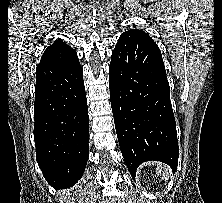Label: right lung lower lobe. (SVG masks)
Here are the masks:
<instances>
[{"instance_id":"right-lung-lower-lobe-1","label":"right lung lower lobe","mask_w":222,"mask_h":203,"mask_svg":"<svg viewBox=\"0 0 222 203\" xmlns=\"http://www.w3.org/2000/svg\"><path fill=\"white\" fill-rule=\"evenodd\" d=\"M34 141L38 165L55 189L73 186L89 155V120L78 60L36 68Z\"/></svg>"}]
</instances>
